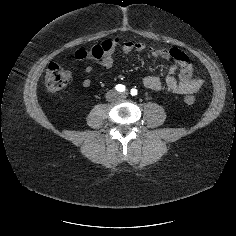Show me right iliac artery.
I'll return each instance as SVG.
<instances>
[{
	"label": "right iliac artery",
	"instance_id": "obj_1",
	"mask_svg": "<svg viewBox=\"0 0 236 236\" xmlns=\"http://www.w3.org/2000/svg\"><path fill=\"white\" fill-rule=\"evenodd\" d=\"M115 89H116L118 92H124V91L126 90L125 86L122 85V84L116 85Z\"/></svg>",
	"mask_w": 236,
	"mask_h": 236
}]
</instances>
